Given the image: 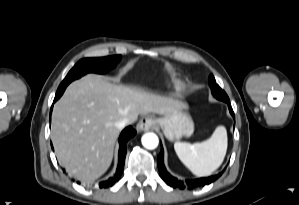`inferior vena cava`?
Here are the masks:
<instances>
[{"mask_svg":"<svg viewBox=\"0 0 299 205\" xmlns=\"http://www.w3.org/2000/svg\"><path fill=\"white\" fill-rule=\"evenodd\" d=\"M127 124H129V119L123 118L120 121L116 122V127L118 129H123Z\"/></svg>","mask_w":299,"mask_h":205,"instance_id":"1","label":"inferior vena cava"}]
</instances>
